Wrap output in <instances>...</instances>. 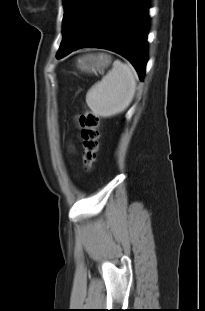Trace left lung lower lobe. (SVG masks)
<instances>
[{"label": "left lung lower lobe", "instance_id": "1", "mask_svg": "<svg viewBox=\"0 0 205 311\" xmlns=\"http://www.w3.org/2000/svg\"><path fill=\"white\" fill-rule=\"evenodd\" d=\"M148 9L149 0H117L84 39L57 58L83 47L108 49L127 58L143 80L148 51Z\"/></svg>", "mask_w": 205, "mask_h": 311}]
</instances>
